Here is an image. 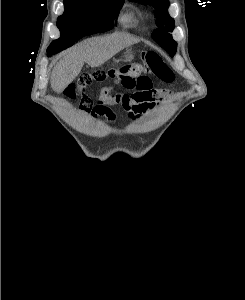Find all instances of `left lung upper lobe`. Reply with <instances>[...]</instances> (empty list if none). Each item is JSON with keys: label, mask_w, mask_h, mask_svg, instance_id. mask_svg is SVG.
<instances>
[{"label": "left lung upper lobe", "mask_w": 245, "mask_h": 300, "mask_svg": "<svg viewBox=\"0 0 245 300\" xmlns=\"http://www.w3.org/2000/svg\"><path fill=\"white\" fill-rule=\"evenodd\" d=\"M140 4L151 5L155 9L156 25L159 27L152 33L153 39L169 54H175L177 43L173 40L171 32L174 29V20L168 14V0H129Z\"/></svg>", "instance_id": "5c2ea615"}]
</instances>
